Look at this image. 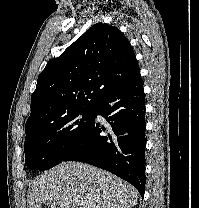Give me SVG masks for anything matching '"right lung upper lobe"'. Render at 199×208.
I'll list each match as a JSON object with an SVG mask.
<instances>
[{
  "instance_id": "1",
  "label": "right lung upper lobe",
  "mask_w": 199,
  "mask_h": 208,
  "mask_svg": "<svg viewBox=\"0 0 199 208\" xmlns=\"http://www.w3.org/2000/svg\"><path fill=\"white\" fill-rule=\"evenodd\" d=\"M139 75L136 56L123 33L95 24L38 76L25 133L76 109L93 107Z\"/></svg>"
}]
</instances>
